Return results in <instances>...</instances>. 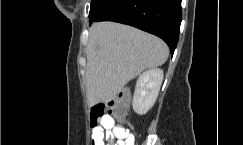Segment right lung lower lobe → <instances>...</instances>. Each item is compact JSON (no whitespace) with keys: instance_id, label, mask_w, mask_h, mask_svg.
<instances>
[{"instance_id":"1","label":"right lung lower lobe","mask_w":243,"mask_h":145,"mask_svg":"<svg viewBox=\"0 0 243 145\" xmlns=\"http://www.w3.org/2000/svg\"><path fill=\"white\" fill-rule=\"evenodd\" d=\"M89 20L90 24L115 21L152 33L173 54L182 20L181 0H92Z\"/></svg>"}]
</instances>
